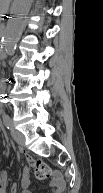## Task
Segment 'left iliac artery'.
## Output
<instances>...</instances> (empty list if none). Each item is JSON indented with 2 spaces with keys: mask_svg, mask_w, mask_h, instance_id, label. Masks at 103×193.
<instances>
[{
  "mask_svg": "<svg viewBox=\"0 0 103 193\" xmlns=\"http://www.w3.org/2000/svg\"><path fill=\"white\" fill-rule=\"evenodd\" d=\"M3 122H4L7 129H11L12 121L7 114H3Z\"/></svg>",
  "mask_w": 103,
  "mask_h": 193,
  "instance_id": "obj_1",
  "label": "left iliac artery"
}]
</instances>
